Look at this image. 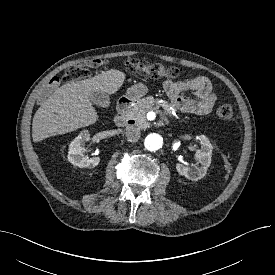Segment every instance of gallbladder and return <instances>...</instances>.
Masks as SVG:
<instances>
[{"label":"gallbladder","instance_id":"obj_1","mask_svg":"<svg viewBox=\"0 0 275 275\" xmlns=\"http://www.w3.org/2000/svg\"><path fill=\"white\" fill-rule=\"evenodd\" d=\"M91 101L102 108H108L110 106L109 95L102 91H94L90 97Z\"/></svg>","mask_w":275,"mask_h":275}]
</instances>
